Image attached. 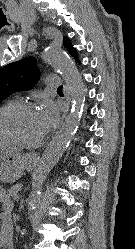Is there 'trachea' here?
Listing matches in <instances>:
<instances>
[{
  "label": "trachea",
  "instance_id": "1",
  "mask_svg": "<svg viewBox=\"0 0 135 249\" xmlns=\"http://www.w3.org/2000/svg\"><path fill=\"white\" fill-rule=\"evenodd\" d=\"M63 86L58 87L57 91H62Z\"/></svg>",
  "mask_w": 135,
  "mask_h": 249
}]
</instances>
